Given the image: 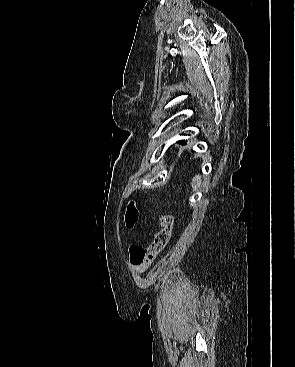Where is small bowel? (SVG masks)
Instances as JSON below:
<instances>
[{
  "mask_svg": "<svg viewBox=\"0 0 295 367\" xmlns=\"http://www.w3.org/2000/svg\"><path fill=\"white\" fill-rule=\"evenodd\" d=\"M134 265V264H133ZM150 265H134V268L137 272L142 273L148 269Z\"/></svg>",
  "mask_w": 295,
  "mask_h": 367,
  "instance_id": "obj_1",
  "label": "small bowel"
}]
</instances>
